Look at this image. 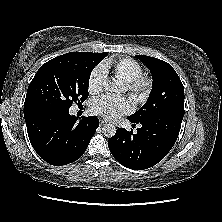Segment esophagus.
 Masks as SVG:
<instances>
[{
  "instance_id": "esophagus-1",
  "label": "esophagus",
  "mask_w": 222,
  "mask_h": 222,
  "mask_svg": "<svg viewBox=\"0 0 222 222\" xmlns=\"http://www.w3.org/2000/svg\"><path fill=\"white\" fill-rule=\"evenodd\" d=\"M107 122L105 120L100 121V125H105Z\"/></svg>"
}]
</instances>
